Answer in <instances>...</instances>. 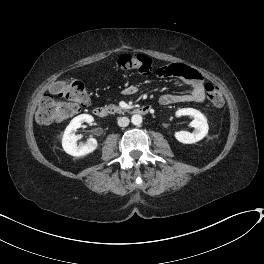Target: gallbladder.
<instances>
[{
  "mask_svg": "<svg viewBox=\"0 0 264 264\" xmlns=\"http://www.w3.org/2000/svg\"><path fill=\"white\" fill-rule=\"evenodd\" d=\"M65 84H66L65 82H57L51 87V90L53 92L60 91L61 89L64 88Z\"/></svg>",
  "mask_w": 264,
  "mask_h": 264,
  "instance_id": "1",
  "label": "gallbladder"
}]
</instances>
